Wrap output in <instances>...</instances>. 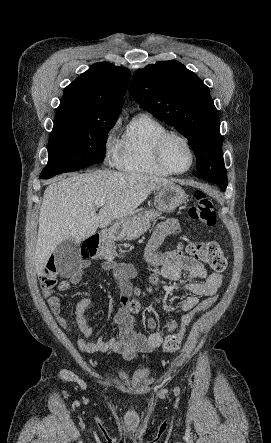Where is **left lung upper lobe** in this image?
<instances>
[{"label":"left lung upper lobe","instance_id":"5c2ea615","mask_svg":"<svg viewBox=\"0 0 271 443\" xmlns=\"http://www.w3.org/2000/svg\"><path fill=\"white\" fill-rule=\"evenodd\" d=\"M129 91L140 107L188 139L197 158V177L225 191L228 180L218 112L197 75L178 61H160L137 70Z\"/></svg>","mask_w":271,"mask_h":443}]
</instances>
